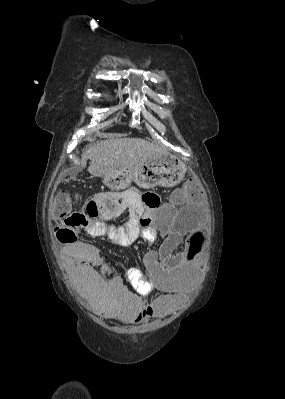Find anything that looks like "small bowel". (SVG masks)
<instances>
[{"instance_id":"c3829d8e","label":"small bowel","mask_w":285,"mask_h":399,"mask_svg":"<svg viewBox=\"0 0 285 399\" xmlns=\"http://www.w3.org/2000/svg\"><path fill=\"white\" fill-rule=\"evenodd\" d=\"M117 195L122 199L121 203H104L105 195H96L82 203L81 214L87 222L84 226L90 234L103 236L113 230L114 225L107 222L127 208L135 211L140 205L147 219L159 209V205L153 208L141 205V195L135 190ZM175 203L183 206L185 197H179ZM67 228L64 222L59 226L64 235ZM74 228L76 232L78 227L74 225ZM159 233L166 234L169 239L159 251L148 250L144 253V267L149 277H144L137 268L128 271L137 290L130 289L114 268L103 260L99 250L89 242L80 241L62 247L64 263L72 281L88 305L101 317L130 323L141 322L161 317L185 304L188 295L194 290L201 267L198 253L201 232L186 231L175 223L162 225L149 222L142 233V239L151 243ZM177 246H184V252L173 256L170 264L167 254ZM149 292H158V295L146 303L144 295Z\"/></svg>"}]
</instances>
